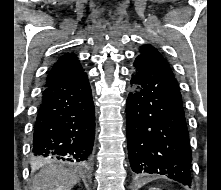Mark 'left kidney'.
<instances>
[{
  "mask_svg": "<svg viewBox=\"0 0 221 190\" xmlns=\"http://www.w3.org/2000/svg\"><path fill=\"white\" fill-rule=\"evenodd\" d=\"M149 190H161L159 188H150Z\"/></svg>",
  "mask_w": 221,
  "mask_h": 190,
  "instance_id": "5707ae66",
  "label": "left kidney"
}]
</instances>
